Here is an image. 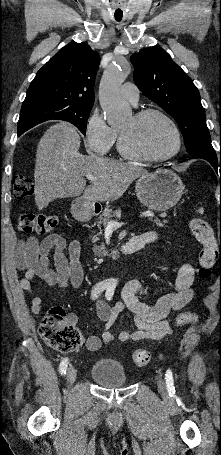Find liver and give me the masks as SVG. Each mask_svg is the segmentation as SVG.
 <instances>
[{"instance_id": "1", "label": "liver", "mask_w": 221, "mask_h": 455, "mask_svg": "<svg viewBox=\"0 0 221 455\" xmlns=\"http://www.w3.org/2000/svg\"><path fill=\"white\" fill-rule=\"evenodd\" d=\"M80 143L77 129L67 122L52 125L40 139L34 170L35 203L39 210L55 199L82 194L90 202L117 200L135 179L149 174L132 163L82 155ZM87 174L98 180L86 187Z\"/></svg>"}]
</instances>
